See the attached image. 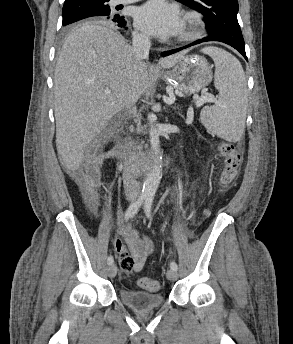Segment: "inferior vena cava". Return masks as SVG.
<instances>
[{"label":"inferior vena cava","mask_w":293,"mask_h":344,"mask_svg":"<svg viewBox=\"0 0 293 344\" xmlns=\"http://www.w3.org/2000/svg\"><path fill=\"white\" fill-rule=\"evenodd\" d=\"M150 46L151 42L148 35L137 32L132 34V49L135 66L143 59L148 58ZM136 101L137 98L132 83V74H130L121 93L122 109L127 117H132L135 113ZM126 148L128 155H131L135 149V145L134 143L129 142L126 144ZM123 185L127 197L137 198L140 195V183L136 181L134 171L130 166H126L124 168Z\"/></svg>","instance_id":"inferior-vena-cava-1"}]
</instances>
